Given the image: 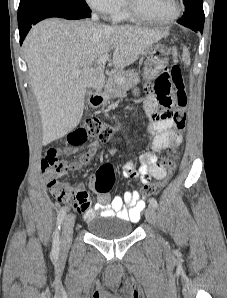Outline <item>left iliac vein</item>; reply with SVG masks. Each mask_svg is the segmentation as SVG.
<instances>
[{
    "label": "left iliac vein",
    "instance_id": "4c4485c4",
    "mask_svg": "<svg viewBox=\"0 0 227 298\" xmlns=\"http://www.w3.org/2000/svg\"><path fill=\"white\" fill-rule=\"evenodd\" d=\"M145 217L151 225L155 226L157 217L155 209L152 205H149L145 210Z\"/></svg>",
    "mask_w": 227,
    "mask_h": 298
}]
</instances>
